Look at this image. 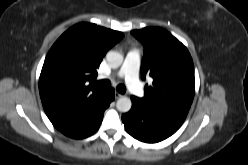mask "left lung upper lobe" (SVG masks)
<instances>
[{
	"instance_id": "1",
	"label": "left lung upper lobe",
	"mask_w": 248,
	"mask_h": 165,
	"mask_svg": "<svg viewBox=\"0 0 248 165\" xmlns=\"http://www.w3.org/2000/svg\"><path fill=\"white\" fill-rule=\"evenodd\" d=\"M144 44L142 79L149 74L151 86H145L143 98L134 99L143 106L185 120L195 91L194 65L187 48L168 31L148 27L131 31Z\"/></svg>"
}]
</instances>
